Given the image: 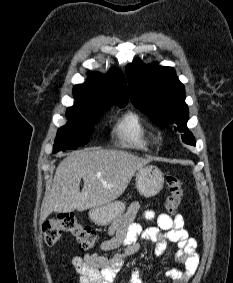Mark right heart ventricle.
<instances>
[{
	"mask_svg": "<svg viewBox=\"0 0 233 283\" xmlns=\"http://www.w3.org/2000/svg\"><path fill=\"white\" fill-rule=\"evenodd\" d=\"M114 132L124 146L136 150L149 151L155 142L153 131L134 112L127 113L118 122Z\"/></svg>",
	"mask_w": 233,
	"mask_h": 283,
	"instance_id": "obj_1",
	"label": "right heart ventricle"
}]
</instances>
